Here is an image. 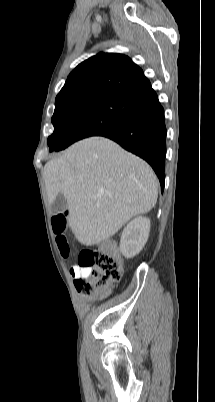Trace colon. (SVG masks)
Masks as SVG:
<instances>
[{
  "instance_id": "1",
  "label": "colon",
  "mask_w": 215,
  "mask_h": 402,
  "mask_svg": "<svg viewBox=\"0 0 215 402\" xmlns=\"http://www.w3.org/2000/svg\"><path fill=\"white\" fill-rule=\"evenodd\" d=\"M56 242L63 257L70 253L69 244L64 235L66 220L63 215L52 220ZM77 265L90 268L89 276L74 280L78 292L87 297L104 294L108 287L121 279L122 266L111 242H105L97 250H84L78 255Z\"/></svg>"
}]
</instances>
